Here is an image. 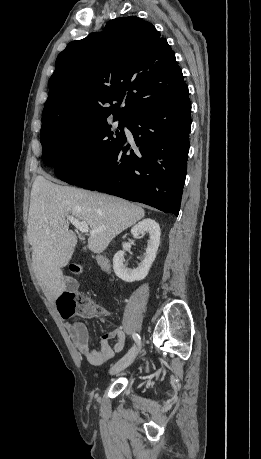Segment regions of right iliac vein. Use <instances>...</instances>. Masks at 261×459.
Returning <instances> with one entry per match:
<instances>
[{
    "label": "right iliac vein",
    "mask_w": 261,
    "mask_h": 459,
    "mask_svg": "<svg viewBox=\"0 0 261 459\" xmlns=\"http://www.w3.org/2000/svg\"><path fill=\"white\" fill-rule=\"evenodd\" d=\"M140 348L141 345H138V347H134L125 359H120L113 367H111L110 374H117L125 368H127L134 361L135 356L140 351Z\"/></svg>",
    "instance_id": "1"
}]
</instances>
